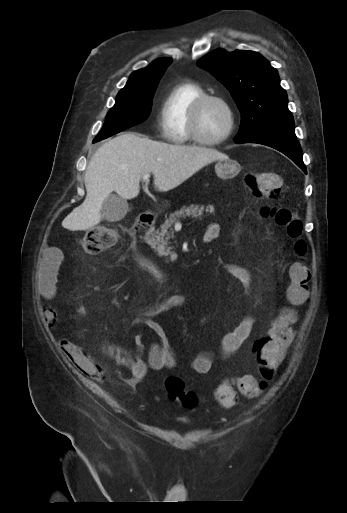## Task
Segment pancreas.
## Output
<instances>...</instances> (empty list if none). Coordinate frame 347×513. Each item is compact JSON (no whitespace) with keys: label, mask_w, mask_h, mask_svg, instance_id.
Instances as JSON below:
<instances>
[{"label":"pancreas","mask_w":347,"mask_h":513,"mask_svg":"<svg viewBox=\"0 0 347 513\" xmlns=\"http://www.w3.org/2000/svg\"><path fill=\"white\" fill-rule=\"evenodd\" d=\"M207 212H214V208L212 205H208L206 207ZM204 212V207L191 204L190 206H183L181 209L172 212L166 217L163 224L160 225V228L155 231L152 245L154 249L158 252L159 256H168L173 255L170 251L172 248L168 246V240L173 237V229L172 226L176 222H180L181 219H186L187 217L191 218H201Z\"/></svg>","instance_id":"pancreas-1"}]
</instances>
